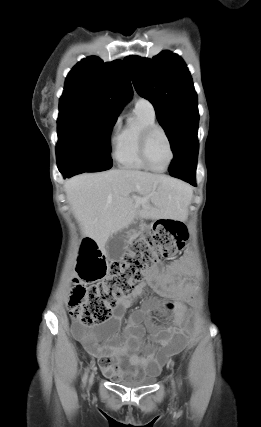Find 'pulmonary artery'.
I'll use <instances>...</instances> for the list:
<instances>
[{
    "label": "pulmonary artery",
    "mask_w": 261,
    "mask_h": 427,
    "mask_svg": "<svg viewBox=\"0 0 261 427\" xmlns=\"http://www.w3.org/2000/svg\"><path fill=\"white\" fill-rule=\"evenodd\" d=\"M135 108L142 109L151 115H155L154 106L149 100L145 98H138L135 104Z\"/></svg>",
    "instance_id": "obj_1"
}]
</instances>
